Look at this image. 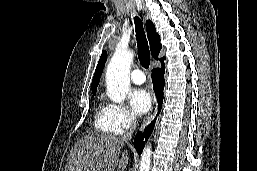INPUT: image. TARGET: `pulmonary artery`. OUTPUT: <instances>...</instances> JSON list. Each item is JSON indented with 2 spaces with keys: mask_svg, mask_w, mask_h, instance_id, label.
Wrapping results in <instances>:
<instances>
[{
  "mask_svg": "<svg viewBox=\"0 0 257 171\" xmlns=\"http://www.w3.org/2000/svg\"><path fill=\"white\" fill-rule=\"evenodd\" d=\"M130 78H131V81L137 85H141L146 81V76L144 72L140 69L133 70Z\"/></svg>",
  "mask_w": 257,
  "mask_h": 171,
  "instance_id": "obj_1",
  "label": "pulmonary artery"
}]
</instances>
